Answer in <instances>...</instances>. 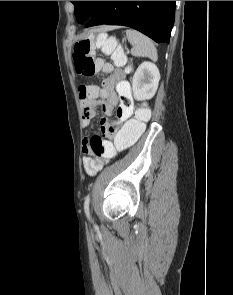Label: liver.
<instances>
[{
  "label": "liver",
  "mask_w": 233,
  "mask_h": 295,
  "mask_svg": "<svg viewBox=\"0 0 233 295\" xmlns=\"http://www.w3.org/2000/svg\"><path fill=\"white\" fill-rule=\"evenodd\" d=\"M116 27L115 26H106V27H103L101 29H99V31H107V30H112V29H115Z\"/></svg>",
  "instance_id": "liver-1"
}]
</instances>
